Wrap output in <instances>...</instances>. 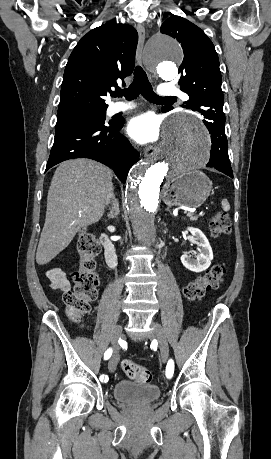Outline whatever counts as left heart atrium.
Masks as SVG:
<instances>
[{
    "label": "left heart atrium",
    "instance_id": "39dd6f15",
    "mask_svg": "<svg viewBox=\"0 0 271 459\" xmlns=\"http://www.w3.org/2000/svg\"><path fill=\"white\" fill-rule=\"evenodd\" d=\"M161 119L154 114H143L128 125L129 136L139 144L154 143L159 139Z\"/></svg>",
    "mask_w": 271,
    "mask_h": 459
}]
</instances>
